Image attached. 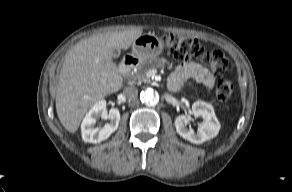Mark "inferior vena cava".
Instances as JSON below:
<instances>
[{"label": "inferior vena cava", "instance_id": "inferior-vena-cava-1", "mask_svg": "<svg viewBox=\"0 0 292 192\" xmlns=\"http://www.w3.org/2000/svg\"><path fill=\"white\" fill-rule=\"evenodd\" d=\"M123 95L129 100H134L138 95V90L136 87L128 86L123 90Z\"/></svg>", "mask_w": 292, "mask_h": 192}]
</instances>
